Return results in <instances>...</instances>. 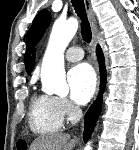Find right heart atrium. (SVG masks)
Wrapping results in <instances>:
<instances>
[{"instance_id": "1", "label": "right heart atrium", "mask_w": 139, "mask_h": 150, "mask_svg": "<svg viewBox=\"0 0 139 150\" xmlns=\"http://www.w3.org/2000/svg\"><path fill=\"white\" fill-rule=\"evenodd\" d=\"M57 104L64 116L73 117L76 113V108L65 98H57Z\"/></svg>"}]
</instances>
